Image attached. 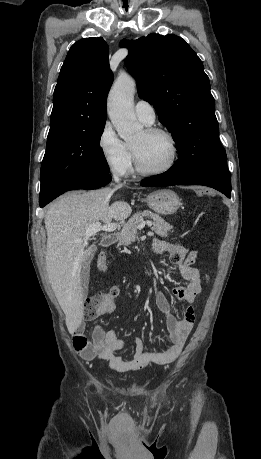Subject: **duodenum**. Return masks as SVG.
Listing matches in <instances>:
<instances>
[{
    "label": "duodenum",
    "mask_w": 261,
    "mask_h": 459,
    "mask_svg": "<svg viewBox=\"0 0 261 459\" xmlns=\"http://www.w3.org/2000/svg\"><path fill=\"white\" fill-rule=\"evenodd\" d=\"M117 240V235L115 233L107 234L102 239V245L108 247L112 245Z\"/></svg>",
    "instance_id": "duodenum-1"
}]
</instances>
